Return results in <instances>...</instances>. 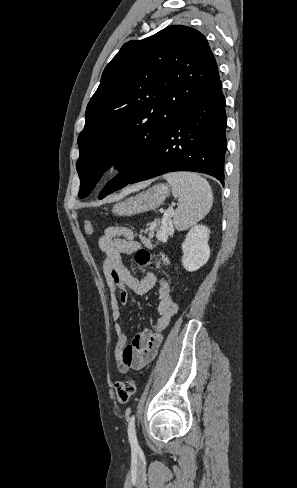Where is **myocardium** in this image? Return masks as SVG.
<instances>
[{
    "mask_svg": "<svg viewBox=\"0 0 297 488\" xmlns=\"http://www.w3.org/2000/svg\"><path fill=\"white\" fill-rule=\"evenodd\" d=\"M130 160L131 154L128 151L122 148L115 149L106 157V171L109 174H117L129 164Z\"/></svg>",
    "mask_w": 297,
    "mask_h": 488,
    "instance_id": "f54148a6",
    "label": "myocardium"
}]
</instances>
